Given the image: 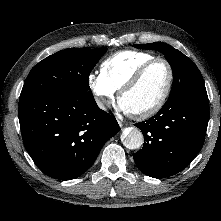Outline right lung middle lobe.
<instances>
[{
  "instance_id": "obj_1",
  "label": "right lung middle lobe",
  "mask_w": 221,
  "mask_h": 221,
  "mask_svg": "<svg viewBox=\"0 0 221 221\" xmlns=\"http://www.w3.org/2000/svg\"><path fill=\"white\" fill-rule=\"evenodd\" d=\"M107 48H71L40 61L30 71L20 99L32 96L91 95L88 77Z\"/></svg>"
}]
</instances>
